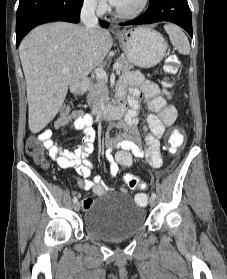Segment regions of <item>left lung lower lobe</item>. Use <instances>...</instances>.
I'll return each instance as SVG.
<instances>
[{
	"label": "left lung lower lobe",
	"instance_id": "left-lung-lower-lobe-1",
	"mask_svg": "<svg viewBox=\"0 0 227 279\" xmlns=\"http://www.w3.org/2000/svg\"><path fill=\"white\" fill-rule=\"evenodd\" d=\"M160 21L175 23L193 36L192 16L187 0H150V6L144 14L120 25H141Z\"/></svg>",
	"mask_w": 227,
	"mask_h": 279
}]
</instances>
